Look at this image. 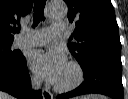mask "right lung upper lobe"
<instances>
[{"instance_id":"right-lung-upper-lobe-1","label":"right lung upper lobe","mask_w":128,"mask_h":99,"mask_svg":"<svg viewBox=\"0 0 128 99\" xmlns=\"http://www.w3.org/2000/svg\"><path fill=\"white\" fill-rule=\"evenodd\" d=\"M32 5L33 0H0V43L13 41L14 26L31 11Z\"/></svg>"}]
</instances>
